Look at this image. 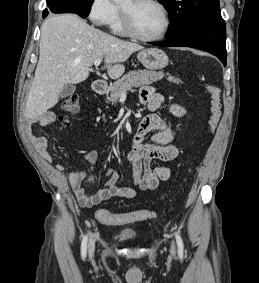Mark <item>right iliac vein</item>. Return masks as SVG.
<instances>
[{
  "mask_svg": "<svg viewBox=\"0 0 259 283\" xmlns=\"http://www.w3.org/2000/svg\"><path fill=\"white\" fill-rule=\"evenodd\" d=\"M88 251H89V255L90 256H93L94 254V251H95V240L93 238H91L89 240V243H88Z\"/></svg>",
  "mask_w": 259,
  "mask_h": 283,
  "instance_id": "1",
  "label": "right iliac vein"
}]
</instances>
